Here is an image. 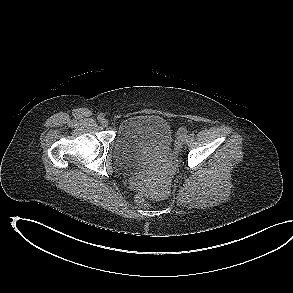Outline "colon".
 <instances>
[{"label": "colon", "mask_w": 293, "mask_h": 293, "mask_svg": "<svg viewBox=\"0 0 293 293\" xmlns=\"http://www.w3.org/2000/svg\"><path fill=\"white\" fill-rule=\"evenodd\" d=\"M135 187H136V190H137V194H136V197H135L136 202L141 206L148 205V203L146 201V198H145L146 190H145L144 186L141 185V184H136Z\"/></svg>", "instance_id": "colon-1"}]
</instances>
